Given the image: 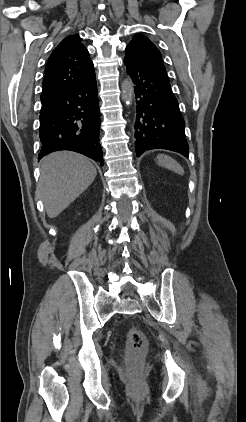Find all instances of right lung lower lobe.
<instances>
[{
  "instance_id": "98d812e1",
  "label": "right lung lower lobe",
  "mask_w": 246,
  "mask_h": 422,
  "mask_svg": "<svg viewBox=\"0 0 246 422\" xmlns=\"http://www.w3.org/2000/svg\"><path fill=\"white\" fill-rule=\"evenodd\" d=\"M39 158L58 150L84 154L103 165L96 77L42 102Z\"/></svg>"
}]
</instances>
